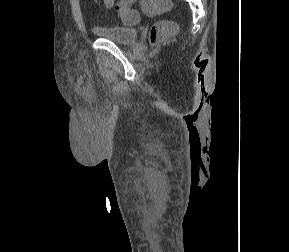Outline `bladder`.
I'll return each mask as SVG.
<instances>
[{"label":"bladder","mask_w":289,"mask_h":252,"mask_svg":"<svg viewBox=\"0 0 289 252\" xmlns=\"http://www.w3.org/2000/svg\"><path fill=\"white\" fill-rule=\"evenodd\" d=\"M93 32L101 38L120 44H132L138 37L136 28L122 25L95 26Z\"/></svg>","instance_id":"obj_1"}]
</instances>
